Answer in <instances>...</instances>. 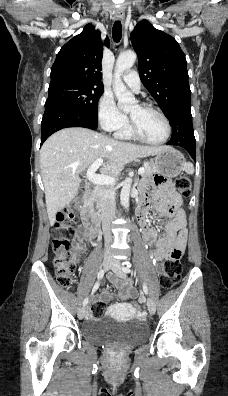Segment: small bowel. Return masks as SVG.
<instances>
[{
	"mask_svg": "<svg viewBox=\"0 0 228 396\" xmlns=\"http://www.w3.org/2000/svg\"><path fill=\"white\" fill-rule=\"evenodd\" d=\"M150 187L157 193L158 206L166 214L171 217V220L167 226L170 234V242L177 248L184 249L187 241V230H186V218L185 211L182 205L181 197L172 190L171 186L166 182L163 177L156 176L150 183ZM149 199L145 198L140 206L139 214L143 221H146L147 210L149 206ZM170 208V210H168ZM78 240L73 246V253L75 261L79 260V254L86 248V242L93 241L95 234L86 230L81 229L78 231ZM144 239L146 242L155 241L156 248L153 252V257L156 262L161 261L166 253L165 241L156 238L155 232L152 229H147L144 232ZM110 282L119 289L118 299L126 301L129 298H134L136 292L132 287L130 281H122L114 275L109 276ZM112 294L108 290H103L98 296L100 303L107 304L111 301Z\"/></svg>",
	"mask_w": 228,
	"mask_h": 396,
	"instance_id": "obj_1",
	"label": "small bowel"
}]
</instances>
